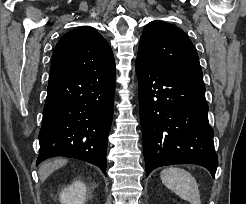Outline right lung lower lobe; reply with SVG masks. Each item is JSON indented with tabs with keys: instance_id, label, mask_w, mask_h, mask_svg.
Instances as JSON below:
<instances>
[{
	"instance_id": "98d812e1",
	"label": "right lung lower lobe",
	"mask_w": 246,
	"mask_h": 204,
	"mask_svg": "<svg viewBox=\"0 0 246 204\" xmlns=\"http://www.w3.org/2000/svg\"><path fill=\"white\" fill-rule=\"evenodd\" d=\"M115 79V68L50 78L37 165L50 157H72L100 167L106 175Z\"/></svg>"
}]
</instances>
